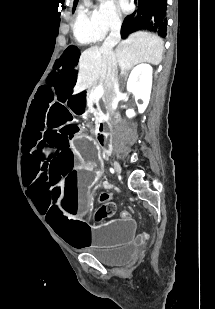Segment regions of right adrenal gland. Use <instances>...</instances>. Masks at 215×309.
Masks as SVG:
<instances>
[{"label": "right adrenal gland", "mask_w": 215, "mask_h": 309, "mask_svg": "<svg viewBox=\"0 0 215 309\" xmlns=\"http://www.w3.org/2000/svg\"><path fill=\"white\" fill-rule=\"evenodd\" d=\"M120 74H124V76H127L128 70H121Z\"/></svg>", "instance_id": "2a0ac1e0"}]
</instances>
